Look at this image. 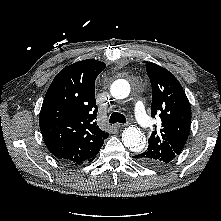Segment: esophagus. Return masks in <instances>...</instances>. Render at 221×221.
I'll return each mask as SVG.
<instances>
[{
	"mask_svg": "<svg viewBox=\"0 0 221 221\" xmlns=\"http://www.w3.org/2000/svg\"><path fill=\"white\" fill-rule=\"evenodd\" d=\"M125 126V124H122V123H117V124H115V127L116 128H123Z\"/></svg>",
	"mask_w": 221,
	"mask_h": 221,
	"instance_id": "esophagus-1",
	"label": "esophagus"
}]
</instances>
